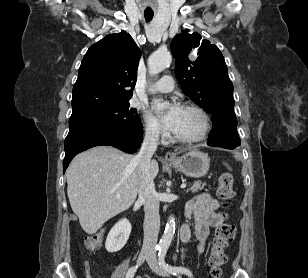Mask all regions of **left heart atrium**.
Instances as JSON below:
<instances>
[{"label":"left heart atrium","instance_id":"left-heart-atrium-1","mask_svg":"<svg viewBox=\"0 0 308 278\" xmlns=\"http://www.w3.org/2000/svg\"><path fill=\"white\" fill-rule=\"evenodd\" d=\"M153 111L166 129L176 132L183 111L179 105L173 104L164 108L162 105L157 104L154 105Z\"/></svg>","mask_w":308,"mask_h":278}]
</instances>
